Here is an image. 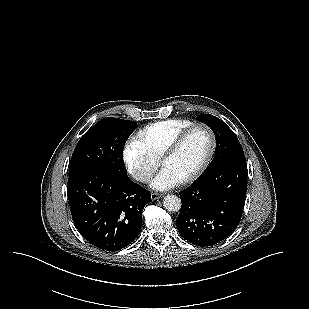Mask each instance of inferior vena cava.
Segmentation results:
<instances>
[{
	"mask_svg": "<svg viewBox=\"0 0 309 309\" xmlns=\"http://www.w3.org/2000/svg\"><path fill=\"white\" fill-rule=\"evenodd\" d=\"M136 179L145 182L149 180V176L146 174H138Z\"/></svg>",
	"mask_w": 309,
	"mask_h": 309,
	"instance_id": "1",
	"label": "inferior vena cava"
}]
</instances>
